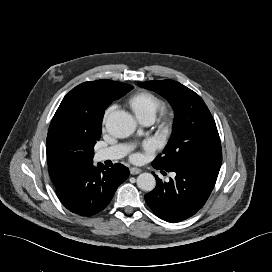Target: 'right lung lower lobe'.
<instances>
[{
    "instance_id": "right-lung-lower-lobe-1",
    "label": "right lung lower lobe",
    "mask_w": 272,
    "mask_h": 272,
    "mask_svg": "<svg viewBox=\"0 0 272 272\" xmlns=\"http://www.w3.org/2000/svg\"><path fill=\"white\" fill-rule=\"evenodd\" d=\"M128 175L129 170L119 163L110 169L101 163L98 167L89 164L75 179L57 188L56 193L71 212L92 216L110 203L116 189Z\"/></svg>"
}]
</instances>
